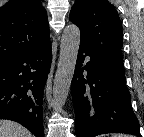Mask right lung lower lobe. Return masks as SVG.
Returning a JSON list of instances; mask_svg holds the SVG:
<instances>
[{
	"label": "right lung lower lobe",
	"mask_w": 144,
	"mask_h": 137,
	"mask_svg": "<svg viewBox=\"0 0 144 137\" xmlns=\"http://www.w3.org/2000/svg\"><path fill=\"white\" fill-rule=\"evenodd\" d=\"M50 40L0 65V119L16 121L43 137L42 99L50 70Z\"/></svg>",
	"instance_id": "right-lung-lower-lobe-1"
}]
</instances>
